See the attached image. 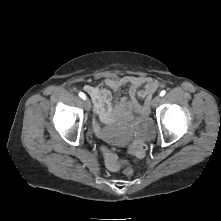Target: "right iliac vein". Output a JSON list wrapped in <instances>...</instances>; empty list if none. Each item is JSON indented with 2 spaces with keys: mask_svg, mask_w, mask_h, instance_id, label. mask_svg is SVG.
Instances as JSON below:
<instances>
[{
  "mask_svg": "<svg viewBox=\"0 0 221 221\" xmlns=\"http://www.w3.org/2000/svg\"><path fill=\"white\" fill-rule=\"evenodd\" d=\"M83 103H84L85 109H86L87 111H89V110H90V102H89V100H88V99H85Z\"/></svg>",
  "mask_w": 221,
  "mask_h": 221,
  "instance_id": "obj_1",
  "label": "right iliac vein"
}]
</instances>
